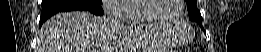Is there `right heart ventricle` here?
I'll use <instances>...</instances> for the list:
<instances>
[{
    "label": "right heart ventricle",
    "mask_w": 261,
    "mask_h": 52,
    "mask_svg": "<svg viewBox=\"0 0 261 52\" xmlns=\"http://www.w3.org/2000/svg\"><path fill=\"white\" fill-rule=\"evenodd\" d=\"M141 1H131L127 4L121 6V9L125 10L129 13H134L137 11L138 5ZM149 22L144 16L142 15H134L129 18L126 22L127 24H140V23H147Z\"/></svg>",
    "instance_id": "e07e8e85"
}]
</instances>
